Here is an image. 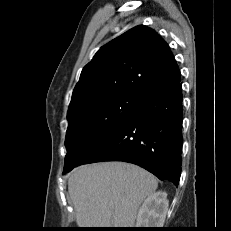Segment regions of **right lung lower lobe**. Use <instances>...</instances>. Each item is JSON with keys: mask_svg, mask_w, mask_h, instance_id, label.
Returning a JSON list of instances; mask_svg holds the SVG:
<instances>
[{"mask_svg": "<svg viewBox=\"0 0 231 231\" xmlns=\"http://www.w3.org/2000/svg\"><path fill=\"white\" fill-rule=\"evenodd\" d=\"M182 101L181 83L142 95L137 111L76 166L124 161L143 167L160 180L171 181L177 186L181 174Z\"/></svg>", "mask_w": 231, "mask_h": 231, "instance_id": "1", "label": "right lung lower lobe"}]
</instances>
